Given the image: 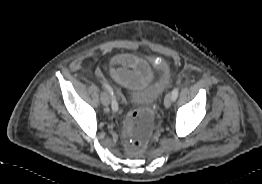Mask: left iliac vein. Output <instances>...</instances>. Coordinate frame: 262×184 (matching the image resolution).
<instances>
[{
    "label": "left iliac vein",
    "instance_id": "obj_1",
    "mask_svg": "<svg viewBox=\"0 0 262 184\" xmlns=\"http://www.w3.org/2000/svg\"><path fill=\"white\" fill-rule=\"evenodd\" d=\"M173 99H172V94L168 93L166 94L165 98H164V105L166 108H169L171 106Z\"/></svg>",
    "mask_w": 262,
    "mask_h": 184
}]
</instances>
